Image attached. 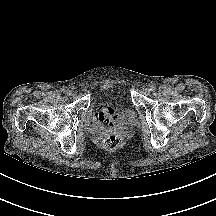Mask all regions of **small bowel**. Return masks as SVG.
Returning <instances> with one entry per match:
<instances>
[{
  "label": "small bowel",
  "mask_w": 216,
  "mask_h": 216,
  "mask_svg": "<svg viewBox=\"0 0 216 216\" xmlns=\"http://www.w3.org/2000/svg\"><path fill=\"white\" fill-rule=\"evenodd\" d=\"M119 113L120 111L115 109L113 106L101 104L97 111L92 114L90 124L97 130L103 127H110Z\"/></svg>",
  "instance_id": "small-bowel-1"
}]
</instances>
